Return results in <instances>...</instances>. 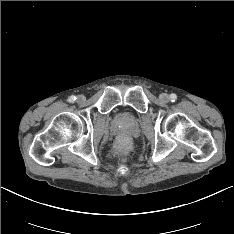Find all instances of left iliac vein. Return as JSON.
Here are the masks:
<instances>
[{
	"label": "left iliac vein",
	"instance_id": "left-iliac-vein-1",
	"mask_svg": "<svg viewBox=\"0 0 234 234\" xmlns=\"http://www.w3.org/2000/svg\"><path fill=\"white\" fill-rule=\"evenodd\" d=\"M159 98L163 103H167L169 101V99H170L169 95L166 94V93L160 94Z\"/></svg>",
	"mask_w": 234,
	"mask_h": 234
}]
</instances>
